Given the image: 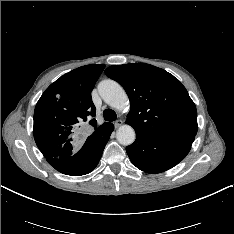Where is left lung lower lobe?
<instances>
[{"instance_id":"0a47b994","label":"left lung lower lobe","mask_w":234,"mask_h":234,"mask_svg":"<svg viewBox=\"0 0 234 234\" xmlns=\"http://www.w3.org/2000/svg\"><path fill=\"white\" fill-rule=\"evenodd\" d=\"M193 135L136 133L126 147L131 162L147 173L166 171L182 161L191 149Z\"/></svg>"}]
</instances>
